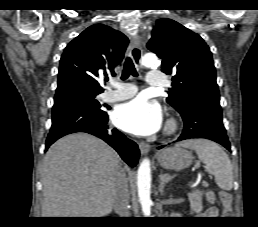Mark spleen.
<instances>
[{"label":"spleen","instance_id":"1","mask_svg":"<svg viewBox=\"0 0 258 227\" xmlns=\"http://www.w3.org/2000/svg\"><path fill=\"white\" fill-rule=\"evenodd\" d=\"M175 146L194 150L199 160L205 163L206 171L215 177L217 186L226 191L232 189L233 166L228 155L218 144L206 139H189Z\"/></svg>","mask_w":258,"mask_h":227}]
</instances>
